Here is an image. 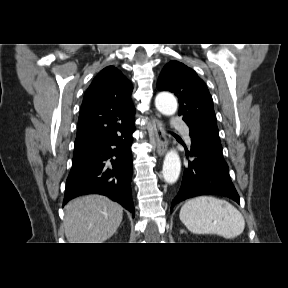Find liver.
<instances>
[{
    "instance_id": "obj_1",
    "label": "liver",
    "mask_w": 288,
    "mask_h": 288,
    "mask_svg": "<svg viewBox=\"0 0 288 288\" xmlns=\"http://www.w3.org/2000/svg\"><path fill=\"white\" fill-rule=\"evenodd\" d=\"M122 207L101 195H86L65 206L64 228L69 243H103L118 229Z\"/></svg>"
}]
</instances>
